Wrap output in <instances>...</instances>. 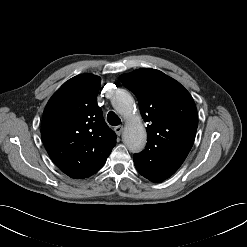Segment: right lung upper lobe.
Returning <instances> with one entry per match:
<instances>
[{
	"label": "right lung upper lobe",
	"mask_w": 247,
	"mask_h": 247,
	"mask_svg": "<svg viewBox=\"0 0 247 247\" xmlns=\"http://www.w3.org/2000/svg\"><path fill=\"white\" fill-rule=\"evenodd\" d=\"M100 78L81 74L65 82L47 103L41 136L52 161L71 178L98 171L116 144V134L97 104Z\"/></svg>",
	"instance_id": "cb5924a9"
}]
</instances>
